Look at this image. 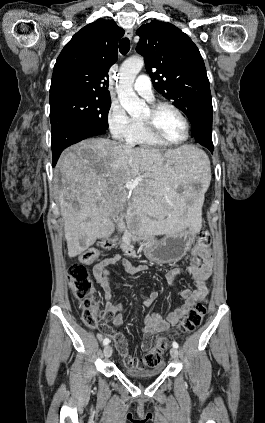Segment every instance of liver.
Wrapping results in <instances>:
<instances>
[{"instance_id": "6515ba94", "label": "liver", "mask_w": 265, "mask_h": 423, "mask_svg": "<svg viewBox=\"0 0 265 423\" xmlns=\"http://www.w3.org/2000/svg\"><path fill=\"white\" fill-rule=\"evenodd\" d=\"M63 187L60 212L70 257L80 255L97 239L115 230L112 217L121 212L130 193L125 184L137 181L128 212L134 207L150 235L201 228L200 206L180 187L207 185L210 162L197 148H132L105 138L86 139L66 149L58 161Z\"/></svg>"}]
</instances>
